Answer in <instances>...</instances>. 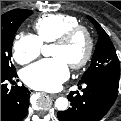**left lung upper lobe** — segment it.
<instances>
[{
  "mask_svg": "<svg viewBox=\"0 0 121 121\" xmlns=\"http://www.w3.org/2000/svg\"><path fill=\"white\" fill-rule=\"evenodd\" d=\"M88 19L96 27L99 39L91 65L83 74L79 84L93 80H105L118 84L120 79V64L113 43L103 28L92 17L88 16Z\"/></svg>",
  "mask_w": 121,
  "mask_h": 121,
  "instance_id": "obj_1",
  "label": "left lung upper lobe"
}]
</instances>
